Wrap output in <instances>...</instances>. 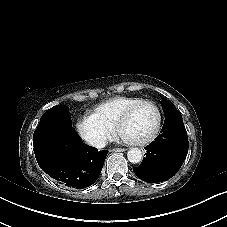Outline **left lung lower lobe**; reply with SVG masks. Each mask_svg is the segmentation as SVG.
Here are the masks:
<instances>
[{"label":"left lung lower lobe","mask_w":227,"mask_h":227,"mask_svg":"<svg viewBox=\"0 0 227 227\" xmlns=\"http://www.w3.org/2000/svg\"><path fill=\"white\" fill-rule=\"evenodd\" d=\"M161 134L146 147V157L134 173L148 183L173 177L182 166L188 152V137L182 118L164 121Z\"/></svg>","instance_id":"1"}]
</instances>
